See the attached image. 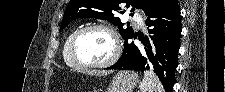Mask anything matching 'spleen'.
I'll return each instance as SVG.
<instances>
[{"label":"spleen","mask_w":225,"mask_h":92,"mask_svg":"<svg viewBox=\"0 0 225 92\" xmlns=\"http://www.w3.org/2000/svg\"><path fill=\"white\" fill-rule=\"evenodd\" d=\"M139 87L140 92H165L161 81L152 71L144 72V77Z\"/></svg>","instance_id":"obj_1"}]
</instances>
